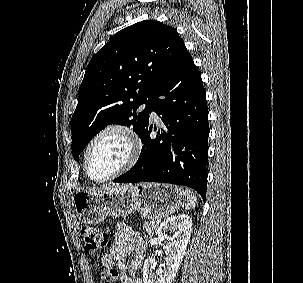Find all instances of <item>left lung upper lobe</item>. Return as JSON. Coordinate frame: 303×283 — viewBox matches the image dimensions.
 Returning <instances> with one entry per match:
<instances>
[{
	"label": "left lung upper lobe",
	"mask_w": 303,
	"mask_h": 283,
	"mask_svg": "<svg viewBox=\"0 0 303 283\" xmlns=\"http://www.w3.org/2000/svg\"><path fill=\"white\" fill-rule=\"evenodd\" d=\"M184 48L176 29L146 20L118 32L94 55L71 119L76 161L108 124L133 126L141 135L149 121L150 100ZM143 104L145 109L139 111Z\"/></svg>",
	"instance_id": "1"
}]
</instances>
